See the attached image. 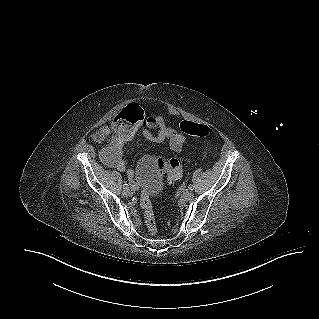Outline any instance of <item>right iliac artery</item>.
I'll return each mask as SVG.
<instances>
[{
    "mask_svg": "<svg viewBox=\"0 0 319 319\" xmlns=\"http://www.w3.org/2000/svg\"><path fill=\"white\" fill-rule=\"evenodd\" d=\"M123 187H124V188H129L127 183H125V184L123 185Z\"/></svg>",
    "mask_w": 319,
    "mask_h": 319,
    "instance_id": "right-iliac-artery-1",
    "label": "right iliac artery"
}]
</instances>
